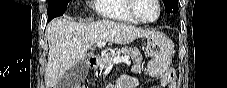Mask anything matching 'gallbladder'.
I'll list each match as a JSON object with an SVG mask.
<instances>
[{
	"mask_svg": "<svg viewBox=\"0 0 227 88\" xmlns=\"http://www.w3.org/2000/svg\"><path fill=\"white\" fill-rule=\"evenodd\" d=\"M87 75L86 60L83 59L70 68L62 76L58 83V88H75L81 84Z\"/></svg>",
	"mask_w": 227,
	"mask_h": 88,
	"instance_id": "gallbladder-1",
	"label": "gallbladder"
}]
</instances>
